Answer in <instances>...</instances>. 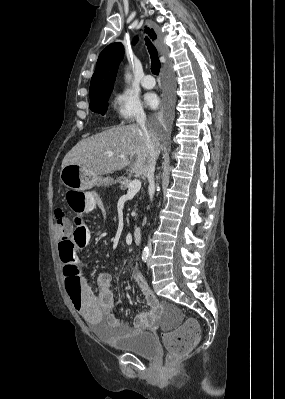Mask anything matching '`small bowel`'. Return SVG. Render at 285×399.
I'll return each mask as SVG.
<instances>
[{"mask_svg": "<svg viewBox=\"0 0 285 399\" xmlns=\"http://www.w3.org/2000/svg\"><path fill=\"white\" fill-rule=\"evenodd\" d=\"M85 210L87 212L98 211L102 216L105 214V208L100 197L94 192L86 193ZM56 216H61L60 211L55 212ZM57 234L60 238H66L70 235V230L65 223L57 226ZM66 280L79 283L81 293L79 304L75 305L71 296L65 290L73 306L79 311L80 315L90 322L106 321L110 327L119 331L120 334H128L133 330H153L159 326V319L164 309V305L159 303L154 293L148 286L147 280L140 269L135 268L131 272V278L140 289L145 299L148 310L139 312L134 316L133 326L130 328L127 321L112 311L115 305L114 293L111 282L108 278L98 274L95 279L96 289L94 292L90 287L87 278L81 269L75 265V269L65 272Z\"/></svg>", "mask_w": 285, "mask_h": 399, "instance_id": "1", "label": "small bowel"}]
</instances>
